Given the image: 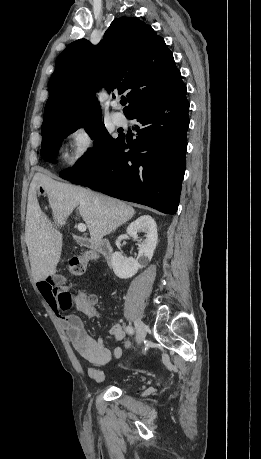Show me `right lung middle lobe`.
Returning a JSON list of instances; mask_svg holds the SVG:
<instances>
[{"instance_id": "1", "label": "right lung middle lobe", "mask_w": 261, "mask_h": 459, "mask_svg": "<svg viewBox=\"0 0 261 459\" xmlns=\"http://www.w3.org/2000/svg\"><path fill=\"white\" fill-rule=\"evenodd\" d=\"M80 127H84L87 133L95 139V146L89 154L82 156L72 168L60 173V177L67 180L79 178L100 166L121 138L120 135L116 139L111 137L102 125L101 119L84 123L60 124L42 131V158L54 163V158L63 139Z\"/></svg>"}]
</instances>
